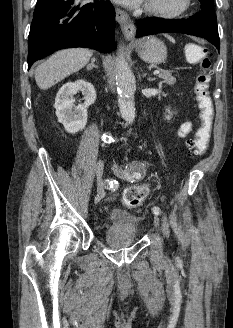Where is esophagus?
I'll return each instance as SVG.
<instances>
[{"label":"esophagus","mask_w":233,"mask_h":328,"mask_svg":"<svg viewBox=\"0 0 233 328\" xmlns=\"http://www.w3.org/2000/svg\"><path fill=\"white\" fill-rule=\"evenodd\" d=\"M115 13H116V20L119 23L124 36L129 40L133 39L136 28L134 23L129 18V15L125 11L119 8L115 9Z\"/></svg>","instance_id":"esophagus-1"}]
</instances>
